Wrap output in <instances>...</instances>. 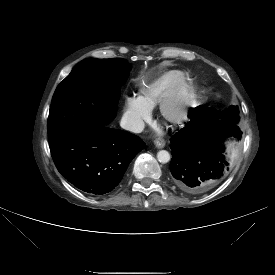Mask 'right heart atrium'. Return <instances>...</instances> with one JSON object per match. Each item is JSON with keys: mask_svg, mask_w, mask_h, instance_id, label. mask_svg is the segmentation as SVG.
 <instances>
[{"mask_svg": "<svg viewBox=\"0 0 275 275\" xmlns=\"http://www.w3.org/2000/svg\"><path fill=\"white\" fill-rule=\"evenodd\" d=\"M124 117L131 129L140 131L150 119V110L143 106L136 97H127L124 105Z\"/></svg>", "mask_w": 275, "mask_h": 275, "instance_id": "obj_1", "label": "right heart atrium"}]
</instances>
